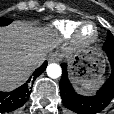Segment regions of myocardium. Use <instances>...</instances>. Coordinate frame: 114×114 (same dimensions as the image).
<instances>
[{"label": "myocardium", "mask_w": 114, "mask_h": 114, "mask_svg": "<svg viewBox=\"0 0 114 114\" xmlns=\"http://www.w3.org/2000/svg\"><path fill=\"white\" fill-rule=\"evenodd\" d=\"M90 26L93 29V32L91 35L86 36L83 33V30L85 27ZM98 37V31L97 28L92 23H83L80 25L77 30L75 31V38L78 42L82 44H90L93 43Z\"/></svg>", "instance_id": "obj_1"}]
</instances>
